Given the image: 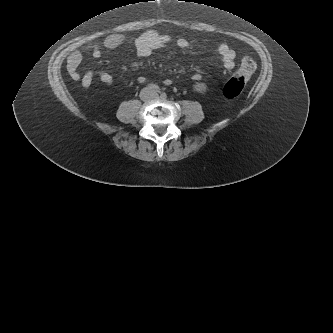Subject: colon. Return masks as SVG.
<instances>
[{
  "instance_id": "1",
  "label": "colon",
  "mask_w": 333,
  "mask_h": 333,
  "mask_svg": "<svg viewBox=\"0 0 333 333\" xmlns=\"http://www.w3.org/2000/svg\"><path fill=\"white\" fill-rule=\"evenodd\" d=\"M255 69L256 64L252 58H243L239 71L224 85L223 96L228 99L237 97L244 89L247 79L254 73Z\"/></svg>"
}]
</instances>
